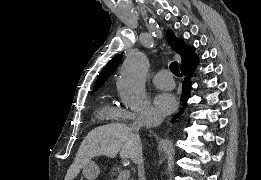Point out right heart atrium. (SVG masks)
Instances as JSON below:
<instances>
[{"label": "right heart atrium", "instance_id": "obj_1", "mask_svg": "<svg viewBox=\"0 0 261 180\" xmlns=\"http://www.w3.org/2000/svg\"><path fill=\"white\" fill-rule=\"evenodd\" d=\"M144 111L143 113H134L130 111H122L119 114L120 120H145L151 115L150 110L147 108V105H143ZM160 118H157L159 121ZM123 127H144V125H122Z\"/></svg>", "mask_w": 261, "mask_h": 180}]
</instances>
